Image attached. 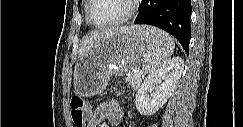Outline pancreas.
Returning <instances> with one entry per match:
<instances>
[{"mask_svg":"<svg viewBox=\"0 0 243 127\" xmlns=\"http://www.w3.org/2000/svg\"><path fill=\"white\" fill-rule=\"evenodd\" d=\"M127 80L133 89H137L141 83L142 77L137 76L134 73H130Z\"/></svg>","mask_w":243,"mask_h":127,"instance_id":"pancreas-1","label":"pancreas"}]
</instances>
